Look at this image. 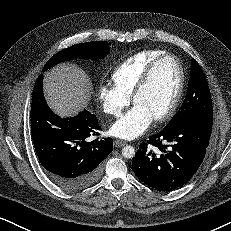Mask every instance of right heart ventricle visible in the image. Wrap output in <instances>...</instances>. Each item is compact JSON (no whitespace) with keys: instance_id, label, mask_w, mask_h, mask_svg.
<instances>
[{"instance_id":"1","label":"right heart ventricle","mask_w":231,"mask_h":231,"mask_svg":"<svg viewBox=\"0 0 231 231\" xmlns=\"http://www.w3.org/2000/svg\"><path fill=\"white\" fill-rule=\"evenodd\" d=\"M163 53L165 52L157 49L145 50L129 57L114 70V85L126 96L131 97L147 65Z\"/></svg>"}]
</instances>
